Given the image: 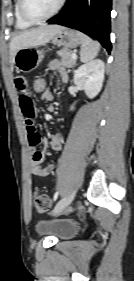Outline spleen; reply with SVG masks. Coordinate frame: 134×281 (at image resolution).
I'll list each match as a JSON object with an SVG mask.
<instances>
[{"instance_id": "obj_1", "label": "spleen", "mask_w": 134, "mask_h": 281, "mask_svg": "<svg viewBox=\"0 0 134 281\" xmlns=\"http://www.w3.org/2000/svg\"><path fill=\"white\" fill-rule=\"evenodd\" d=\"M100 50V44L92 40L85 34H81V51L80 60L82 62H89L93 60Z\"/></svg>"}]
</instances>
